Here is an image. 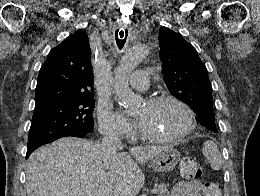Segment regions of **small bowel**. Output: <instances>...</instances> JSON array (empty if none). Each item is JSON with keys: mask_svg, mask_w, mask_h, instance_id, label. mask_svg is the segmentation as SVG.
I'll return each instance as SVG.
<instances>
[{"mask_svg": "<svg viewBox=\"0 0 260 196\" xmlns=\"http://www.w3.org/2000/svg\"><path fill=\"white\" fill-rule=\"evenodd\" d=\"M206 184H203L201 181L191 180V181H180L171 190L170 196H201L203 193L204 196H207L205 192Z\"/></svg>", "mask_w": 260, "mask_h": 196, "instance_id": "1", "label": "small bowel"}]
</instances>
